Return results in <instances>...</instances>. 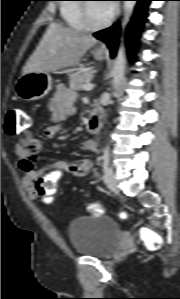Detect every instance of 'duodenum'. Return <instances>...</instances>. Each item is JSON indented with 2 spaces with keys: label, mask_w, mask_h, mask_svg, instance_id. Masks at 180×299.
I'll use <instances>...</instances> for the list:
<instances>
[{
  "label": "duodenum",
  "mask_w": 180,
  "mask_h": 299,
  "mask_svg": "<svg viewBox=\"0 0 180 299\" xmlns=\"http://www.w3.org/2000/svg\"><path fill=\"white\" fill-rule=\"evenodd\" d=\"M103 121V114L100 111H94L89 116L88 129L89 131L96 133L99 131Z\"/></svg>",
  "instance_id": "obj_1"
}]
</instances>
